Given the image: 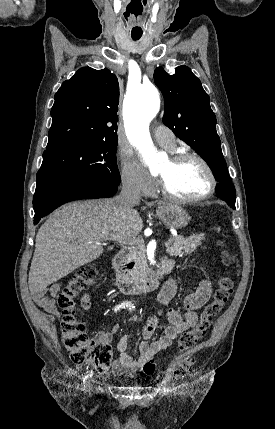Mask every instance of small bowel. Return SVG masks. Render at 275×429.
I'll return each instance as SVG.
<instances>
[{
  "instance_id": "obj_1",
  "label": "small bowel",
  "mask_w": 275,
  "mask_h": 429,
  "mask_svg": "<svg viewBox=\"0 0 275 429\" xmlns=\"http://www.w3.org/2000/svg\"><path fill=\"white\" fill-rule=\"evenodd\" d=\"M169 262L172 265V262ZM176 288L175 278L169 279L161 289L158 295V301L162 305L168 306L176 294ZM58 291L59 285L54 284L47 289L38 288L33 290L32 297L38 306L53 315H58L59 311L55 305V296ZM211 293V282L209 280H203L196 289L184 298L183 313L173 308H168L165 315L169 325L165 328L163 335L154 341H150V339L159 324L160 316L158 314L150 315L142 329V340L138 345L139 356L137 358H133L129 354V337L128 335H123L117 344L119 357L112 365L113 373L123 375L134 374L140 371L146 372L147 364L154 362L153 358L157 353L167 349L178 335L195 326L197 323L196 311L209 300ZM90 307V295L85 293L81 298V309L82 311H88ZM118 330L119 326L113 325L107 332L99 333L97 336L109 340Z\"/></svg>"
}]
</instances>
